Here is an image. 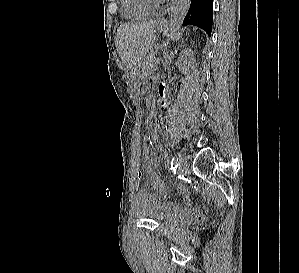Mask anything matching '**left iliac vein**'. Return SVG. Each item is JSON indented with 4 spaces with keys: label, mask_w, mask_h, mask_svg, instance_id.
<instances>
[{
    "label": "left iliac vein",
    "mask_w": 299,
    "mask_h": 273,
    "mask_svg": "<svg viewBox=\"0 0 299 273\" xmlns=\"http://www.w3.org/2000/svg\"><path fill=\"white\" fill-rule=\"evenodd\" d=\"M178 168L181 173L185 172L188 168L187 161L181 153L179 154Z\"/></svg>",
    "instance_id": "4c4485c4"
}]
</instances>
